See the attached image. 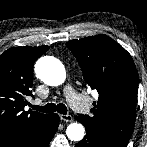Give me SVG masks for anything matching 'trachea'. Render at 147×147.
Wrapping results in <instances>:
<instances>
[{
	"mask_svg": "<svg viewBox=\"0 0 147 147\" xmlns=\"http://www.w3.org/2000/svg\"><path fill=\"white\" fill-rule=\"evenodd\" d=\"M32 108L43 113H52L57 111L63 115L67 114V107L63 103H59L57 105L54 103H48L45 106H32Z\"/></svg>",
	"mask_w": 147,
	"mask_h": 147,
	"instance_id": "obj_1",
	"label": "trachea"
}]
</instances>
